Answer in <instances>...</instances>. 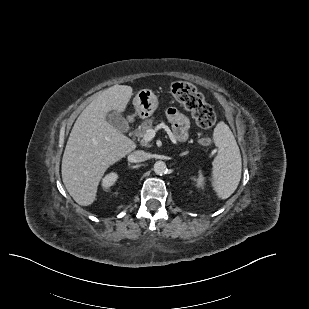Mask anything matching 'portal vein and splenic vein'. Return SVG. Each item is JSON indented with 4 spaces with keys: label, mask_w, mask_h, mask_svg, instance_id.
I'll return each instance as SVG.
<instances>
[{
    "label": "portal vein and splenic vein",
    "mask_w": 309,
    "mask_h": 309,
    "mask_svg": "<svg viewBox=\"0 0 309 309\" xmlns=\"http://www.w3.org/2000/svg\"><path fill=\"white\" fill-rule=\"evenodd\" d=\"M154 137H155V130H153V129H148V130L146 131V133L144 134V136H143V140H144L145 142H149V141H151Z\"/></svg>",
    "instance_id": "obj_1"
}]
</instances>
